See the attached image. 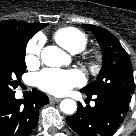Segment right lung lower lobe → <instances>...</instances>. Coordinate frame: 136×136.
Segmentation results:
<instances>
[{
    "mask_svg": "<svg viewBox=\"0 0 136 136\" xmlns=\"http://www.w3.org/2000/svg\"><path fill=\"white\" fill-rule=\"evenodd\" d=\"M49 102L48 97L33 90L25 100L15 98V93L0 95V136H27L38 123L40 107Z\"/></svg>",
    "mask_w": 136,
    "mask_h": 136,
    "instance_id": "right-lung-lower-lobe-1",
    "label": "right lung lower lobe"
}]
</instances>
